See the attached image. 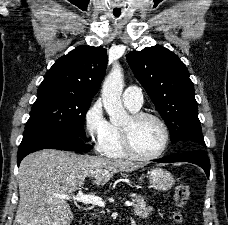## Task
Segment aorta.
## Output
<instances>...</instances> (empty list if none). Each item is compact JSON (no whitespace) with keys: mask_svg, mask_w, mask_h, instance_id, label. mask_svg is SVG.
<instances>
[{"mask_svg":"<svg viewBox=\"0 0 228 225\" xmlns=\"http://www.w3.org/2000/svg\"><path fill=\"white\" fill-rule=\"evenodd\" d=\"M124 74L120 64L114 62L111 72L106 76L102 86V100L111 125H125L129 115L122 104L121 94Z\"/></svg>","mask_w":228,"mask_h":225,"instance_id":"762f6f07","label":"aorta"}]
</instances>
